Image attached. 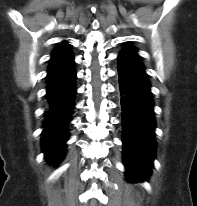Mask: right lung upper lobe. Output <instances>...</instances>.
I'll return each mask as SVG.
<instances>
[{"label": "right lung upper lobe", "instance_id": "1", "mask_svg": "<svg viewBox=\"0 0 197 206\" xmlns=\"http://www.w3.org/2000/svg\"><path fill=\"white\" fill-rule=\"evenodd\" d=\"M70 48L71 45L65 41L56 45L51 54V59L49 60L48 74L46 76L47 81L66 69L72 62L74 56Z\"/></svg>", "mask_w": 197, "mask_h": 206}]
</instances>
